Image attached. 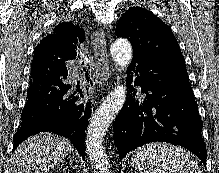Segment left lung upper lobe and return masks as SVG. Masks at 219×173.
<instances>
[{"instance_id": "obj_1", "label": "left lung upper lobe", "mask_w": 219, "mask_h": 173, "mask_svg": "<svg viewBox=\"0 0 219 173\" xmlns=\"http://www.w3.org/2000/svg\"><path fill=\"white\" fill-rule=\"evenodd\" d=\"M116 34L130 40L135 55L185 67L184 57L171 29L144 8L132 7L126 11L116 26Z\"/></svg>"}]
</instances>
